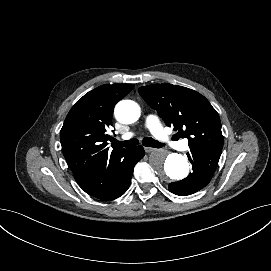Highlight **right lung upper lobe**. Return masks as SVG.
<instances>
[{
	"instance_id": "1",
	"label": "right lung upper lobe",
	"mask_w": 271,
	"mask_h": 271,
	"mask_svg": "<svg viewBox=\"0 0 271 271\" xmlns=\"http://www.w3.org/2000/svg\"><path fill=\"white\" fill-rule=\"evenodd\" d=\"M133 87V84L101 85L80 98L69 111L60 131V141L75 179L112 152L123 149L113 146V151H109L107 141L112 137L106 129L112 125L115 104Z\"/></svg>"
}]
</instances>
